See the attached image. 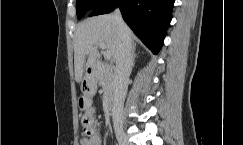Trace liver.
<instances>
[{"label":"liver","instance_id":"6515ba94","mask_svg":"<svg viewBox=\"0 0 243 145\" xmlns=\"http://www.w3.org/2000/svg\"><path fill=\"white\" fill-rule=\"evenodd\" d=\"M128 30L132 40L133 33L129 28ZM98 43H104L107 51L116 60L120 38L114 14L88 18L77 26L74 37V67L77 83L82 81L85 66L86 69H95L97 67L100 56ZM86 56L88 58L85 64Z\"/></svg>","mask_w":243,"mask_h":145}]
</instances>
